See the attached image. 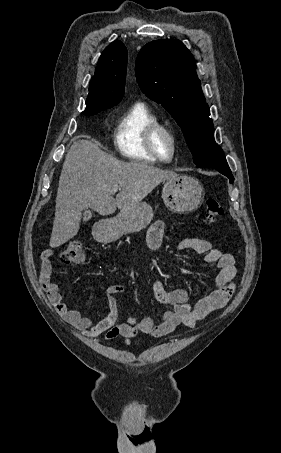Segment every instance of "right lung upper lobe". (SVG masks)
I'll return each mask as SVG.
<instances>
[{"label": "right lung upper lobe", "mask_w": 281, "mask_h": 453, "mask_svg": "<svg viewBox=\"0 0 281 453\" xmlns=\"http://www.w3.org/2000/svg\"><path fill=\"white\" fill-rule=\"evenodd\" d=\"M127 57V49L121 41L116 40L105 48L90 81L87 107L83 113L96 114L122 100Z\"/></svg>", "instance_id": "obj_1"}]
</instances>
